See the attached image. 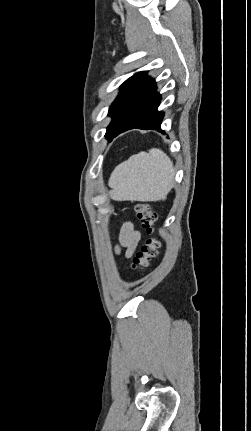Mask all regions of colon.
Instances as JSON below:
<instances>
[{
	"label": "colon",
	"mask_w": 251,
	"mask_h": 431,
	"mask_svg": "<svg viewBox=\"0 0 251 431\" xmlns=\"http://www.w3.org/2000/svg\"><path fill=\"white\" fill-rule=\"evenodd\" d=\"M135 212L142 227L149 235L132 260L133 271L140 273L149 266L151 260L157 256L160 248V241L155 236L158 216L147 203L137 204Z\"/></svg>",
	"instance_id": "colon-1"
}]
</instances>
